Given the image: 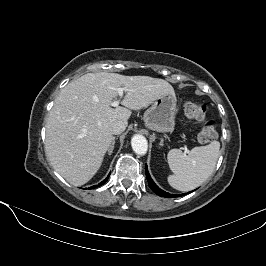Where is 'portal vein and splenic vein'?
Masks as SVG:
<instances>
[{
	"mask_svg": "<svg viewBox=\"0 0 266 266\" xmlns=\"http://www.w3.org/2000/svg\"><path fill=\"white\" fill-rule=\"evenodd\" d=\"M116 90H117V92H118V94H119L120 97H122L124 91H126V89L123 88V87H119V88H117ZM119 103H120L119 100L114 101V102L111 103V106H113V107H117V106L119 105ZM187 152H188V151H187Z\"/></svg>",
	"mask_w": 266,
	"mask_h": 266,
	"instance_id": "1",
	"label": "portal vein and splenic vein"
}]
</instances>
